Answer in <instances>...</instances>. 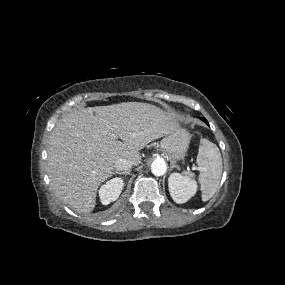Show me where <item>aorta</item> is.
Masks as SVG:
<instances>
[{
    "instance_id": "1",
    "label": "aorta",
    "mask_w": 285,
    "mask_h": 285,
    "mask_svg": "<svg viewBox=\"0 0 285 285\" xmlns=\"http://www.w3.org/2000/svg\"><path fill=\"white\" fill-rule=\"evenodd\" d=\"M167 170V165L164 160L156 159L151 164V171L156 176H162Z\"/></svg>"
}]
</instances>
